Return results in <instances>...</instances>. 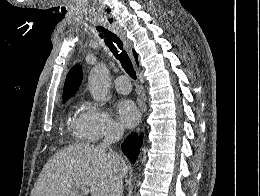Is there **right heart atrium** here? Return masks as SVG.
I'll list each match as a JSON object with an SVG mask.
<instances>
[{
    "mask_svg": "<svg viewBox=\"0 0 260 196\" xmlns=\"http://www.w3.org/2000/svg\"><path fill=\"white\" fill-rule=\"evenodd\" d=\"M75 128L78 130L103 131L119 129V126L106 109L88 101L82 105L80 115L75 122ZM91 138L98 140V135H93Z\"/></svg>",
    "mask_w": 260,
    "mask_h": 196,
    "instance_id": "obj_1",
    "label": "right heart atrium"
}]
</instances>
